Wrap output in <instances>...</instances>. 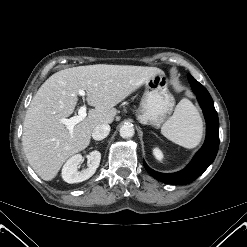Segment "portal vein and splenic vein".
<instances>
[{
	"label": "portal vein and splenic vein",
	"mask_w": 247,
	"mask_h": 247,
	"mask_svg": "<svg viewBox=\"0 0 247 247\" xmlns=\"http://www.w3.org/2000/svg\"><path fill=\"white\" fill-rule=\"evenodd\" d=\"M78 94L80 96H85V91L79 90ZM86 109H87L86 105H82L78 110V115L73 116L71 118H60L59 121H60V123H62L66 126L67 130L70 133H72L75 125H77L78 123H80L81 121H83L86 118V116H87Z\"/></svg>",
	"instance_id": "18ae733b"
}]
</instances>
